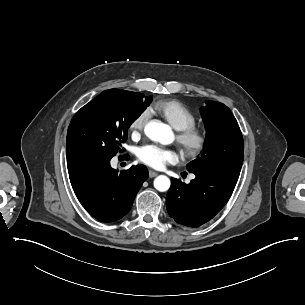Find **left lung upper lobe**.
I'll use <instances>...</instances> for the list:
<instances>
[{
	"label": "left lung upper lobe",
	"instance_id": "1",
	"mask_svg": "<svg viewBox=\"0 0 305 305\" xmlns=\"http://www.w3.org/2000/svg\"><path fill=\"white\" fill-rule=\"evenodd\" d=\"M206 128L205 149L187 165L188 171L239 172L244 157V142L237 120L220 102L206 101L201 108Z\"/></svg>",
	"mask_w": 305,
	"mask_h": 305
}]
</instances>
